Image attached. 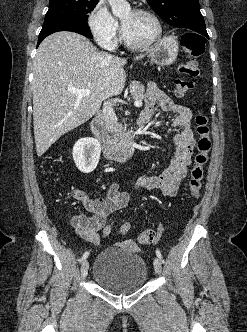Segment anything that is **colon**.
Here are the masks:
<instances>
[{
    "label": "colon",
    "mask_w": 247,
    "mask_h": 332,
    "mask_svg": "<svg viewBox=\"0 0 247 332\" xmlns=\"http://www.w3.org/2000/svg\"><path fill=\"white\" fill-rule=\"evenodd\" d=\"M182 46L186 53L190 56L183 64H181L179 71L186 78H179L175 80V93L177 96H183L194 87L193 78L199 75V65L194 59L200 56L205 50V39L195 33L186 32L182 37ZM196 132L198 134L197 152L194 157V164L190 171L188 189L192 198L200 196L202 188V180L204 177V168L208 161L209 152L211 150L210 130L208 119L203 113H198L195 117ZM131 231L129 223H123L119 227V232L122 235H127ZM112 232L111 226L107 225L103 228V235L109 236ZM158 239V235L152 229L142 231L138 236V241L142 244L154 243Z\"/></svg>",
    "instance_id": "1"
}]
</instances>
